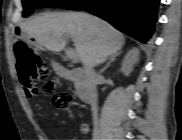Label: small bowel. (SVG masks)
Wrapping results in <instances>:
<instances>
[{
	"label": "small bowel",
	"instance_id": "small-bowel-1",
	"mask_svg": "<svg viewBox=\"0 0 182 140\" xmlns=\"http://www.w3.org/2000/svg\"><path fill=\"white\" fill-rule=\"evenodd\" d=\"M81 132H82L83 134H87V132H88V127H87V125H83V126L81 127Z\"/></svg>",
	"mask_w": 182,
	"mask_h": 140
}]
</instances>
